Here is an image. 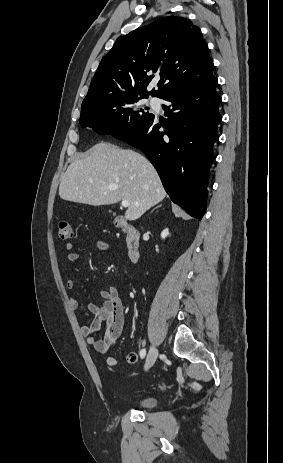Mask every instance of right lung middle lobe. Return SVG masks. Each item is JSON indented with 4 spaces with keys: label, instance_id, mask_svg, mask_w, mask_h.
Instances as JSON below:
<instances>
[{
    "label": "right lung middle lobe",
    "instance_id": "dd1d6c3e",
    "mask_svg": "<svg viewBox=\"0 0 283 463\" xmlns=\"http://www.w3.org/2000/svg\"><path fill=\"white\" fill-rule=\"evenodd\" d=\"M143 98L148 97L113 95L84 104L79 123L99 134L117 136L134 131L153 116L140 106Z\"/></svg>",
    "mask_w": 283,
    "mask_h": 463
}]
</instances>
